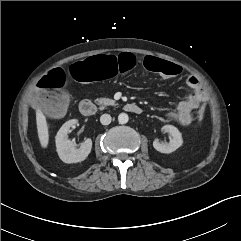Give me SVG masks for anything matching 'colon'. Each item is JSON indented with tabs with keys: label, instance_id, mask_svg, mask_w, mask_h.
<instances>
[{
	"label": "colon",
	"instance_id": "5ec220e1",
	"mask_svg": "<svg viewBox=\"0 0 241 241\" xmlns=\"http://www.w3.org/2000/svg\"><path fill=\"white\" fill-rule=\"evenodd\" d=\"M142 62L145 67L167 79L179 78L183 74L179 65L171 61L147 57ZM140 63L141 61L130 51H123L121 53L111 51L73 63L69 68L68 74L70 79L75 83H92L99 79H106L111 74H130L136 70ZM64 83L65 74L61 69L53 70L44 76L37 85V94L34 98L35 105L53 116H60L67 102V97L60 93L48 92L60 90L64 86ZM204 114L205 109L201 108L198 113L200 121L204 118Z\"/></svg>",
	"mask_w": 241,
	"mask_h": 241
}]
</instances>
